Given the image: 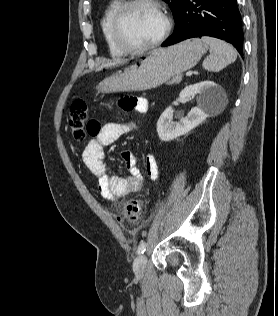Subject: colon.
<instances>
[{
	"label": "colon",
	"mask_w": 278,
	"mask_h": 316,
	"mask_svg": "<svg viewBox=\"0 0 278 316\" xmlns=\"http://www.w3.org/2000/svg\"><path fill=\"white\" fill-rule=\"evenodd\" d=\"M88 104L81 99L75 100L69 111V127L75 141L81 142L87 134L94 135L99 131L100 125L89 120ZM122 217L130 223L138 222L142 217V202L137 199L127 201L123 206Z\"/></svg>",
	"instance_id": "5ec220e1"
}]
</instances>
